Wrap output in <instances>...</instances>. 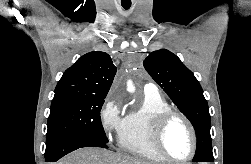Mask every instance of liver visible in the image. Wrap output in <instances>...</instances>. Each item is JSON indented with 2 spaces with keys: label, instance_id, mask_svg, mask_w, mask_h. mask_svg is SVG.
Returning a JSON list of instances; mask_svg holds the SVG:
<instances>
[{
  "label": "liver",
  "instance_id": "1",
  "mask_svg": "<svg viewBox=\"0 0 251 164\" xmlns=\"http://www.w3.org/2000/svg\"><path fill=\"white\" fill-rule=\"evenodd\" d=\"M56 164H154L136 157L115 153L106 149L88 147L78 149Z\"/></svg>",
  "mask_w": 251,
  "mask_h": 164
}]
</instances>
